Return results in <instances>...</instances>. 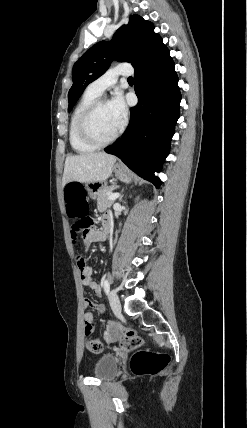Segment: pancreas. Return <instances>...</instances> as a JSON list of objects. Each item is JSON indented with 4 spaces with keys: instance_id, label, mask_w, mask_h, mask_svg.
<instances>
[{
    "instance_id": "cf45deb5",
    "label": "pancreas",
    "mask_w": 247,
    "mask_h": 428,
    "mask_svg": "<svg viewBox=\"0 0 247 428\" xmlns=\"http://www.w3.org/2000/svg\"><path fill=\"white\" fill-rule=\"evenodd\" d=\"M118 186L112 185V186H103L97 195V208L100 212H103L107 209V207H110L114 200H109L108 197L111 194V192L116 189Z\"/></svg>"
}]
</instances>
